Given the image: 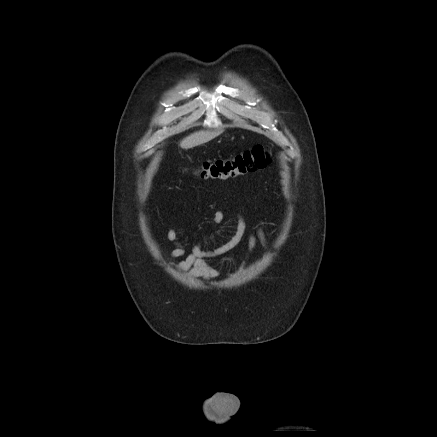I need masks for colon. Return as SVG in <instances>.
<instances>
[{"label": "colon", "mask_w": 437, "mask_h": 437, "mask_svg": "<svg viewBox=\"0 0 437 437\" xmlns=\"http://www.w3.org/2000/svg\"><path fill=\"white\" fill-rule=\"evenodd\" d=\"M270 157L263 146L257 145L228 160H214L201 164L196 174L203 179L227 180L265 168Z\"/></svg>", "instance_id": "colon-1"}]
</instances>
